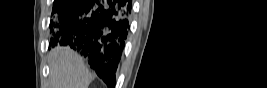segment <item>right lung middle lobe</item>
Masks as SVG:
<instances>
[{
	"label": "right lung middle lobe",
	"mask_w": 267,
	"mask_h": 88,
	"mask_svg": "<svg viewBox=\"0 0 267 88\" xmlns=\"http://www.w3.org/2000/svg\"><path fill=\"white\" fill-rule=\"evenodd\" d=\"M70 0H55L53 4L52 13H59L62 9H64Z\"/></svg>",
	"instance_id": "dd1d6c3e"
}]
</instances>
